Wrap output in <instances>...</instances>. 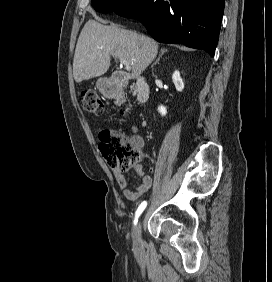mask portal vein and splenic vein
<instances>
[{"instance_id":"18ae733b","label":"portal vein and splenic vein","mask_w":272,"mask_h":282,"mask_svg":"<svg viewBox=\"0 0 272 282\" xmlns=\"http://www.w3.org/2000/svg\"><path fill=\"white\" fill-rule=\"evenodd\" d=\"M119 61H120L121 64H123V65L125 66V68H126L127 70H131V64H130V62H128V61H126V60H124V59H121V58H119Z\"/></svg>"}]
</instances>
